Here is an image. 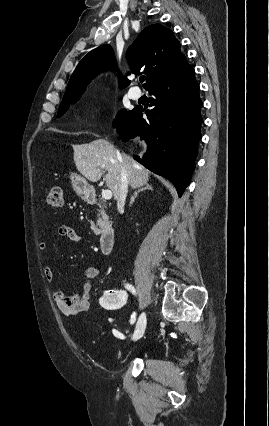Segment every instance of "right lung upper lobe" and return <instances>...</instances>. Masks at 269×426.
<instances>
[{"label":"right lung upper lobe","mask_w":269,"mask_h":426,"mask_svg":"<svg viewBox=\"0 0 269 426\" xmlns=\"http://www.w3.org/2000/svg\"><path fill=\"white\" fill-rule=\"evenodd\" d=\"M127 60L133 73L143 70L147 76L145 89L181 72L188 66L180 51V42L173 32L160 24L146 27L127 51ZM115 60L110 45H101L90 51L77 65L63 99L81 96L86 86L102 71L113 68ZM130 81L123 77L119 87Z\"/></svg>","instance_id":"cb5924a9"}]
</instances>
